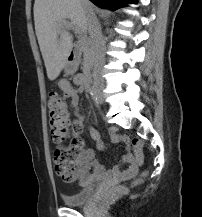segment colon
<instances>
[{
	"instance_id": "1",
	"label": "colon",
	"mask_w": 202,
	"mask_h": 217,
	"mask_svg": "<svg viewBox=\"0 0 202 217\" xmlns=\"http://www.w3.org/2000/svg\"><path fill=\"white\" fill-rule=\"evenodd\" d=\"M67 109L64 99L56 92L50 95L48 101V120L51 138L55 144L54 163L56 173L65 181H74L81 174L80 156L83 152V141L75 136L70 142L64 143L68 133ZM135 147L141 146L139 139L133 140ZM147 176L143 173L136 183L142 181ZM124 187H116L112 194H121Z\"/></svg>"
}]
</instances>
